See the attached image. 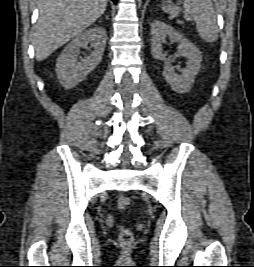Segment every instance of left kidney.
I'll list each match as a JSON object with an SVG mask.
<instances>
[{
  "mask_svg": "<svg viewBox=\"0 0 254 267\" xmlns=\"http://www.w3.org/2000/svg\"><path fill=\"white\" fill-rule=\"evenodd\" d=\"M151 35V53L153 58L165 62L163 71L165 80L175 92H189L201 67L202 56L199 49L181 33L162 21L152 22ZM167 36L179 43L177 55L187 59V66L180 70L181 74L175 73L170 63L171 60L167 59L162 52V43L165 42Z\"/></svg>",
  "mask_w": 254,
  "mask_h": 267,
  "instance_id": "5707ae66",
  "label": "left kidney"
}]
</instances>
